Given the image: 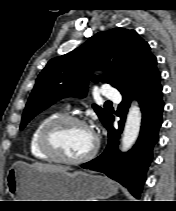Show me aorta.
Instances as JSON below:
<instances>
[{
    "label": "aorta",
    "instance_id": "1",
    "mask_svg": "<svg viewBox=\"0 0 176 211\" xmlns=\"http://www.w3.org/2000/svg\"><path fill=\"white\" fill-rule=\"evenodd\" d=\"M142 114L138 104L135 102L129 108L127 115V120L125 123L121 150L122 152L128 151L135 143L138 138L140 128H141Z\"/></svg>",
    "mask_w": 176,
    "mask_h": 211
}]
</instances>
